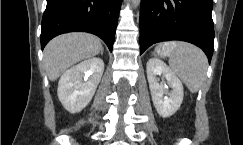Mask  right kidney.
I'll use <instances>...</instances> for the list:
<instances>
[{
    "mask_svg": "<svg viewBox=\"0 0 243 145\" xmlns=\"http://www.w3.org/2000/svg\"><path fill=\"white\" fill-rule=\"evenodd\" d=\"M103 71L104 62L94 57L63 73L58 83L57 94L68 112L78 113L88 105L95 94Z\"/></svg>",
    "mask_w": 243,
    "mask_h": 145,
    "instance_id": "right-kidney-1",
    "label": "right kidney"
}]
</instances>
